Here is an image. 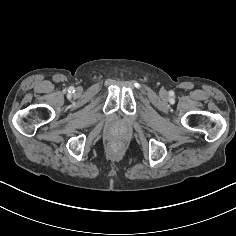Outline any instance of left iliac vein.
Listing matches in <instances>:
<instances>
[{
	"label": "left iliac vein",
	"instance_id": "4c4485c4",
	"mask_svg": "<svg viewBox=\"0 0 236 236\" xmlns=\"http://www.w3.org/2000/svg\"><path fill=\"white\" fill-rule=\"evenodd\" d=\"M159 95L164 98V97L167 96V91H166L165 89H161V90L159 91Z\"/></svg>",
	"mask_w": 236,
	"mask_h": 236
}]
</instances>
